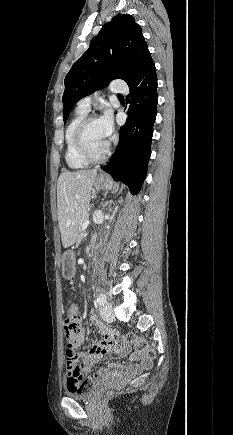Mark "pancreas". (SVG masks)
Returning <instances> with one entry per match:
<instances>
[{"mask_svg":"<svg viewBox=\"0 0 233 435\" xmlns=\"http://www.w3.org/2000/svg\"><path fill=\"white\" fill-rule=\"evenodd\" d=\"M88 217H89V215L86 214V215L82 218V220H81V226H80V232H79V237H80V238H81L82 233H83L82 224H83L84 221H86V220L88 219Z\"/></svg>","mask_w":233,"mask_h":435,"instance_id":"pancreas-1","label":"pancreas"}]
</instances>
